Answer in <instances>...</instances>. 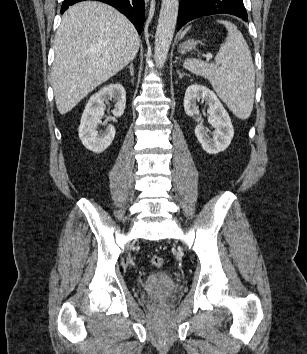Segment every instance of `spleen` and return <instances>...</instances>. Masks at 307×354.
Returning <instances> with one entry per match:
<instances>
[{
    "label": "spleen",
    "instance_id": "obj_1",
    "mask_svg": "<svg viewBox=\"0 0 307 354\" xmlns=\"http://www.w3.org/2000/svg\"><path fill=\"white\" fill-rule=\"evenodd\" d=\"M228 35L220 45L215 64L186 59L185 69L208 79L220 99L241 120L250 117L255 95V70L249 47L237 27L227 21ZM188 27L184 33H186Z\"/></svg>",
    "mask_w": 307,
    "mask_h": 354
}]
</instances>
